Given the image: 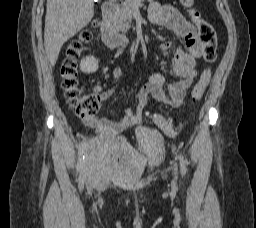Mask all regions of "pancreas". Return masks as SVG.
<instances>
[{"mask_svg": "<svg viewBox=\"0 0 256 228\" xmlns=\"http://www.w3.org/2000/svg\"><path fill=\"white\" fill-rule=\"evenodd\" d=\"M142 0H125L119 10L111 19V26L114 31L126 33L129 23L132 21L134 11L139 7Z\"/></svg>", "mask_w": 256, "mask_h": 228, "instance_id": "1", "label": "pancreas"}]
</instances>
